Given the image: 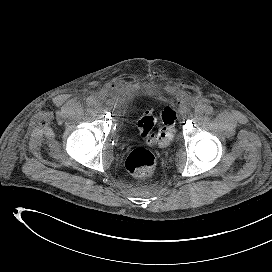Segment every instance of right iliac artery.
<instances>
[{"instance_id":"obj_1","label":"right iliac artery","mask_w":272,"mask_h":272,"mask_svg":"<svg viewBox=\"0 0 272 272\" xmlns=\"http://www.w3.org/2000/svg\"><path fill=\"white\" fill-rule=\"evenodd\" d=\"M86 104H87L88 106H92V105L94 104L93 98H92V97H88V98L86 99Z\"/></svg>"}]
</instances>
